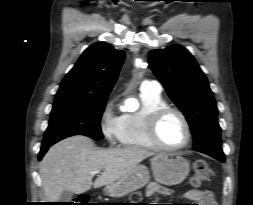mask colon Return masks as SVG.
Masks as SVG:
<instances>
[{"label":"colon","mask_w":253,"mask_h":205,"mask_svg":"<svg viewBox=\"0 0 253 205\" xmlns=\"http://www.w3.org/2000/svg\"><path fill=\"white\" fill-rule=\"evenodd\" d=\"M212 179L213 171L209 167L208 163L204 160H197L193 165L191 184L194 187H200ZM87 203L88 198L85 196H80L74 199L69 205H87Z\"/></svg>","instance_id":"5ec220e1"}]
</instances>
